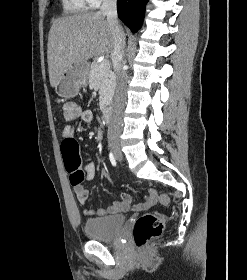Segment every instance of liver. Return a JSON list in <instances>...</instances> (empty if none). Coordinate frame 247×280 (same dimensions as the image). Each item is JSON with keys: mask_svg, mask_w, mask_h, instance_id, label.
Masks as SVG:
<instances>
[{"mask_svg": "<svg viewBox=\"0 0 247 280\" xmlns=\"http://www.w3.org/2000/svg\"><path fill=\"white\" fill-rule=\"evenodd\" d=\"M114 42L109 23L100 12L56 19L47 45L50 85L56 87L74 63L111 53Z\"/></svg>", "mask_w": 247, "mask_h": 280, "instance_id": "1", "label": "liver"}]
</instances>
